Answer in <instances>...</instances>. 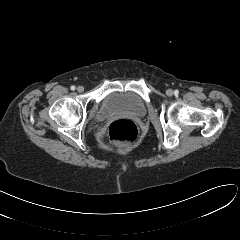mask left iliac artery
Wrapping results in <instances>:
<instances>
[{
  "label": "left iliac artery",
  "mask_w": 240,
  "mask_h": 240,
  "mask_svg": "<svg viewBox=\"0 0 240 240\" xmlns=\"http://www.w3.org/2000/svg\"><path fill=\"white\" fill-rule=\"evenodd\" d=\"M174 94L177 96L179 94V91L178 90H175L174 91Z\"/></svg>",
  "instance_id": "left-iliac-artery-1"
}]
</instances>
